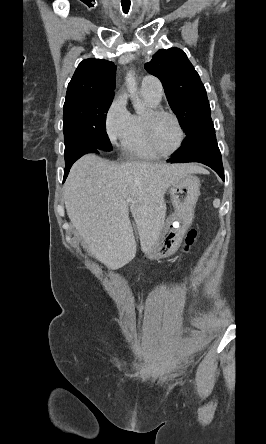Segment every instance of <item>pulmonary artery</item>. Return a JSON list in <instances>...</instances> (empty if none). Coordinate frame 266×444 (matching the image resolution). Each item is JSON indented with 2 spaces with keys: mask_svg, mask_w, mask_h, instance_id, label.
Masks as SVG:
<instances>
[{
  "mask_svg": "<svg viewBox=\"0 0 266 444\" xmlns=\"http://www.w3.org/2000/svg\"><path fill=\"white\" fill-rule=\"evenodd\" d=\"M141 93L156 102H160L163 95V87L160 80L154 76L146 75L141 81Z\"/></svg>",
  "mask_w": 266,
  "mask_h": 444,
  "instance_id": "1",
  "label": "pulmonary artery"
}]
</instances>
